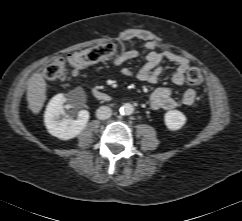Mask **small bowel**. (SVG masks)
Masks as SVG:
<instances>
[{"label":"small bowel","mask_w":242,"mask_h":221,"mask_svg":"<svg viewBox=\"0 0 242 221\" xmlns=\"http://www.w3.org/2000/svg\"><path fill=\"white\" fill-rule=\"evenodd\" d=\"M138 38L145 41V54L140 55L137 51H125L112 60L114 67H120L124 62L141 57L143 62L138 68L122 67L120 72L123 76L135 78L139 81L154 84L157 82L160 73V63L168 61L176 65V70L172 75V82L181 86L184 84L185 73L189 67V61L185 57L171 51H156L154 41L145 32L127 31L122 36V40ZM196 92L194 89H186L181 96V103L190 106L195 102ZM178 102L174 97V91L169 87L157 88L150 97V106L154 110H170L177 107Z\"/></svg>","instance_id":"1"}]
</instances>
